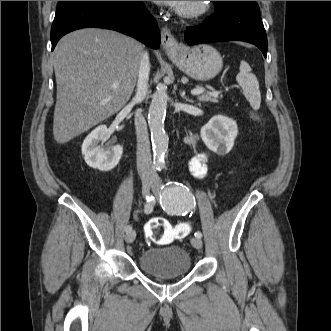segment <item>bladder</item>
Listing matches in <instances>:
<instances>
[{"mask_svg":"<svg viewBox=\"0 0 331 331\" xmlns=\"http://www.w3.org/2000/svg\"><path fill=\"white\" fill-rule=\"evenodd\" d=\"M138 263L140 269L152 278L184 277L192 266L189 253L178 244L147 248L140 253Z\"/></svg>","mask_w":331,"mask_h":331,"instance_id":"obj_1","label":"bladder"}]
</instances>
